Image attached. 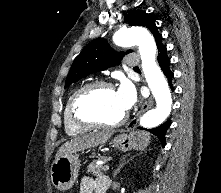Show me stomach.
<instances>
[{
  "mask_svg": "<svg viewBox=\"0 0 221 193\" xmlns=\"http://www.w3.org/2000/svg\"><path fill=\"white\" fill-rule=\"evenodd\" d=\"M150 143V136L144 131H131L117 135L111 142L122 152L142 150ZM78 154H67L55 160L51 166L52 184L59 190L70 189L78 177L80 161Z\"/></svg>",
  "mask_w": 221,
  "mask_h": 193,
  "instance_id": "0dacf381",
  "label": "stomach"
}]
</instances>
